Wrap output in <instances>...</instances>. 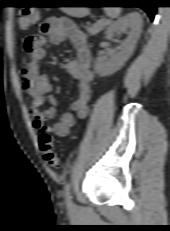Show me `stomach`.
<instances>
[{"instance_id":"obj_1","label":"stomach","mask_w":170,"mask_h":231,"mask_svg":"<svg viewBox=\"0 0 170 231\" xmlns=\"http://www.w3.org/2000/svg\"><path fill=\"white\" fill-rule=\"evenodd\" d=\"M72 1H64L63 3H71ZM62 11L71 16H82L86 13L85 7H61Z\"/></svg>"}]
</instances>
